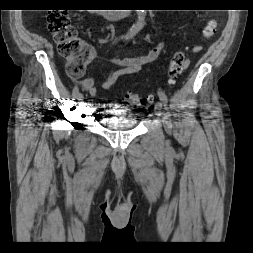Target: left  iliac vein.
Returning <instances> with one entry per match:
<instances>
[{
  "label": "left iliac vein",
  "mask_w": 253,
  "mask_h": 253,
  "mask_svg": "<svg viewBox=\"0 0 253 253\" xmlns=\"http://www.w3.org/2000/svg\"><path fill=\"white\" fill-rule=\"evenodd\" d=\"M161 109H162V104H161L160 102H157V103L155 104V111H156V113H157L158 115L160 114Z\"/></svg>",
  "instance_id": "4c4485c4"
}]
</instances>
